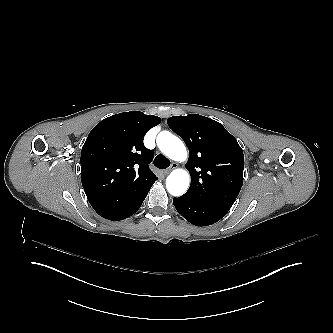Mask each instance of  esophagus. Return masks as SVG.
<instances>
[{
  "label": "esophagus",
  "instance_id": "1",
  "mask_svg": "<svg viewBox=\"0 0 333 333\" xmlns=\"http://www.w3.org/2000/svg\"><path fill=\"white\" fill-rule=\"evenodd\" d=\"M178 164L177 163H172L171 166L164 171V174L167 175L168 173H170L173 169L177 168Z\"/></svg>",
  "mask_w": 333,
  "mask_h": 333
}]
</instances>
